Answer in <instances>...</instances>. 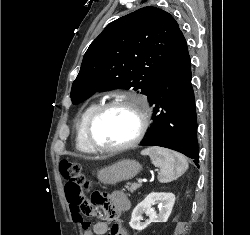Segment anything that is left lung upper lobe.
<instances>
[{
  "mask_svg": "<svg viewBox=\"0 0 250 235\" xmlns=\"http://www.w3.org/2000/svg\"><path fill=\"white\" fill-rule=\"evenodd\" d=\"M180 33L168 12L152 6L111 22L84 55L71 89L73 104L117 88L147 95Z\"/></svg>",
  "mask_w": 250,
  "mask_h": 235,
  "instance_id": "left-lung-upper-lobe-1",
  "label": "left lung upper lobe"
}]
</instances>
